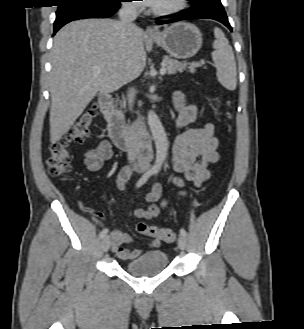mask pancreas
Returning a JSON list of instances; mask_svg holds the SVG:
<instances>
[{"instance_id": "cf45deb5", "label": "pancreas", "mask_w": 304, "mask_h": 329, "mask_svg": "<svg viewBox=\"0 0 304 329\" xmlns=\"http://www.w3.org/2000/svg\"><path fill=\"white\" fill-rule=\"evenodd\" d=\"M163 65L166 67V71L168 74H175L177 71L183 72L186 69H189L191 73H194L196 71V68L202 66V63L200 62H194V63H186V62H180L174 59H171L167 56L163 59Z\"/></svg>"}]
</instances>
